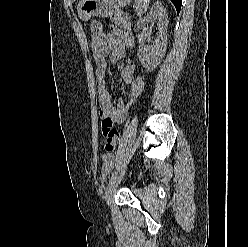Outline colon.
I'll use <instances>...</instances> for the list:
<instances>
[{
	"mask_svg": "<svg viewBox=\"0 0 248 247\" xmlns=\"http://www.w3.org/2000/svg\"><path fill=\"white\" fill-rule=\"evenodd\" d=\"M91 31L93 35L99 36L102 33V24L99 21H93L91 24ZM144 80L142 77H137L132 83L123 108L118 117L117 124H123L127 119L128 113L134 106L138 98L141 96L144 90Z\"/></svg>",
	"mask_w": 248,
	"mask_h": 247,
	"instance_id": "obj_1",
	"label": "colon"
}]
</instances>
